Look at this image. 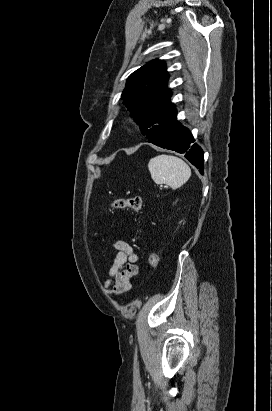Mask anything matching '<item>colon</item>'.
<instances>
[{"label":"colon","instance_id":"obj_1","mask_svg":"<svg viewBox=\"0 0 272 411\" xmlns=\"http://www.w3.org/2000/svg\"><path fill=\"white\" fill-rule=\"evenodd\" d=\"M111 207L114 209H131L134 212L139 213L143 207V200L140 196L117 198L111 203ZM148 261L154 269L159 268L160 259L157 254H149Z\"/></svg>","mask_w":272,"mask_h":411}]
</instances>
